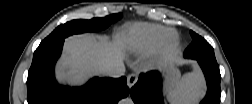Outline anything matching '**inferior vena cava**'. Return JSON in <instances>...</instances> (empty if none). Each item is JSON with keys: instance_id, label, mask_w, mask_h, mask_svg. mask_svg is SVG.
<instances>
[{"instance_id": "602c4592", "label": "inferior vena cava", "mask_w": 252, "mask_h": 104, "mask_svg": "<svg viewBox=\"0 0 252 104\" xmlns=\"http://www.w3.org/2000/svg\"><path fill=\"white\" fill-rule=\"evenodd\" d=\"M103 72L109 77L119 78L125 74V66L123 63H117L106 67Z\"/></svg>"}]
</instances>
